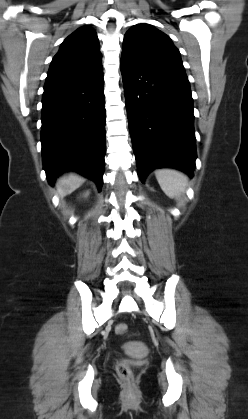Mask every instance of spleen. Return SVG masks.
<instances>
[{
  "mask_svg": "<svg viewBox=\"0 0 248 419\" xmlns=\"http://www.w3.org/2000/svg\"><path fill=\"white\" fill-rule=\"evenodd\" d=\"M156 178L163 192L170 198H179L188 185L187 176L173 169L158 170Z\"/></svg>",
  "mask_w": 248,
  "mask_h": 419,
  "instance_id": "spleen-1",
  "label": "spleen"
}]
</instances>
